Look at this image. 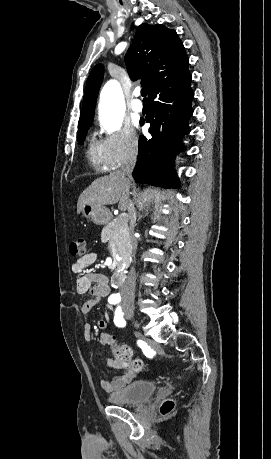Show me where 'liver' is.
<instances>
[{
	"mask_svg": "<svg viewBox=\"0 0 271 459\" xmlns=\"http://www.w3.org/2000/svg\"><path fill=\"white\" fill-rule=\"evenodd\" d=\"M130 180L120 172H110L109 176L97 178L89 188L82 192L77 202V214H80L84 204H118L119 210H132L129 200Z\"/></svg>",
	"mask_w": 271,
	"mask_h": 459,
	"instance_id": "obj_1",
	"label": "liver"
}]
</instances>
